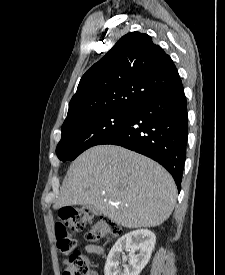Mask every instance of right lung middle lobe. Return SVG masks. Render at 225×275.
<instances>
[{
	"label": "right lung middle lobe",
	"instance_id": "1",
	"mask_svg": "<svg viewBox=\"0 0 225 275\" xmlns=\"http://www.w3.org/2000/svg\"><path fill=\"white\" fill-rule=\"evenodd\" d=\"M132 110L102 112L76 119L62 126V138L56 153L60 160H74L86 149L123 126Z\"/></svg>",
	"mask_w": 225,
	"mask_h": 275
}]
</instances>
